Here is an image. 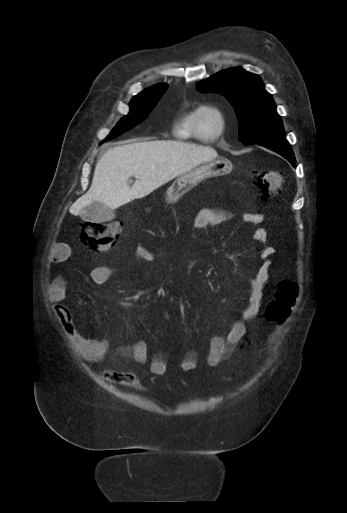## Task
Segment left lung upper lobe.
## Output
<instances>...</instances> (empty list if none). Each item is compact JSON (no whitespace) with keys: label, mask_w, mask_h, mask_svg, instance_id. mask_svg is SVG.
<instances>
[{"label":"left lung upper lobe","mask_w":347,"mask_h":513,"mask_svg":"<svg viewBox=\"0 0 347 513\" xmlns=\"http://www.w3.org/2000/svg\"><path fill=\"white\" fill-rule=\"evenodd\" d=\"M202 92L224 95L235 108L239 141L245 145L284 139L282 121L259 76L241 68L221 71L197 85Z\"/></svg>","instance_id":"5c2ea615"}]
</instances>
